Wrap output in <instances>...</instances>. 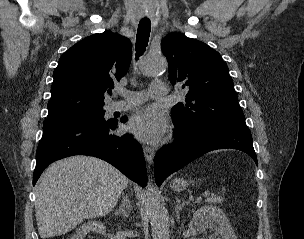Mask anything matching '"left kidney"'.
<instances>
[{"mask_svg":"<svg viewBox=\"0 0 304 239\" xmlns=\"http://www.w3.org/2000/svg\"><path fill=\"white\" fill-rule=\"evenodd\" d=\"M193 224L199 233L217 223L218 228L210 239H237L225 213L216 206H204L194 213Z\"/></svg>","mask_w":304,"mask_h":239,"instance_id":"left-kidney-1","label":"left kidney"}]
</instances>
